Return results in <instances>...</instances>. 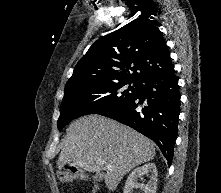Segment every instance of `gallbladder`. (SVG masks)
<instances>
[{"mask_svg":"<svg viewBox=\"0 0 221 193\" xmlns=\"http://www.w3.org/2000/svg\"><path fill=\"white\" fill-rule=\"evenodd\" d=\"M95 181H101L103 179L102 175H96L93 177Z\"/></svg>","mask_w":221,"mask_h":193,"instance_id":"obj_1","label":"gallbladder"}]
</instances>
